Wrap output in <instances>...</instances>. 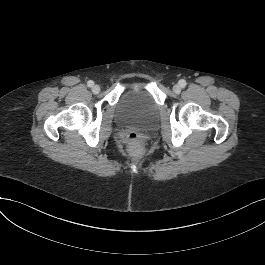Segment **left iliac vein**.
<instances>
[{
  "mask_svg": "<svg viewBox=\"0 0 265 265\" xmlns=\"http://www.w3.org/2000/svg\"><path fill=\"white\" fill-rule=\"evenodd\" d=\"M173 91L176 93V94H179L181 92V86L176 84L174 85L173 87Z\"/></svg>",
  "mask_w": 265,
  "mask_h": 265,
  "instance_id": "1",
  "label": "left iliac vein"
}]
</instances>
